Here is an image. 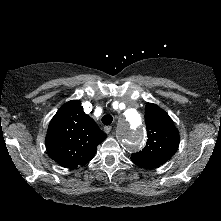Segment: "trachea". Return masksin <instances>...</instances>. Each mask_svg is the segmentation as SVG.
Listing matches in <instances>:
<instances>
[{
  "label": "trachea",
  "instance_id": "trachea-1",
  "mask_svg": "<svg viewBox=\"0 0 221 221\" xmlns=\"http://www.w3.org/2000/svg\"><path fill=\"white\" fill-rule=\"evenodd\" d=\"M112 121H113V117L111 115H109V114L104 115L102 117V123L104 125H110L112 123Z\"/></svg>",
  "mask_w": 221,
  "mask_h": 221
}]
</instances>
